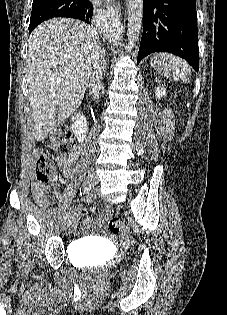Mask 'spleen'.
Instances as JSON below:
<instances>
[{"label": "spleen", "mask_w": 227, "mask_h": 315, "mask_svg": "<svg viewBox=\"0 0 227 315\" xmlns=\"http://www.w3.org/2000/svg\"><path fill=\"white\" fill-rule=\"evenodd\" d=\"M151 65L164 76L183 82H187L188 76L191 75V69L187 63L169 54L153 58Z\"/></svg>", "instance_id": "1"}]
</instances>
